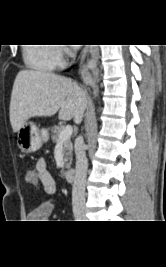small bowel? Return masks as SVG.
Masks as SVG:
<instances>
[{"mask_svg":"<svg viewBox=\"0 0 166 267\" xmlns=\"http://www.w3.org/2000/svg\"><path fill=\"white\" fill-rule=\"evenodd\" d=\"M34 171L38 172V180H41L45 198L29 212L28 218L32 222H44L55 211V200L51 196L56 191V181L53 175L48 171L43 158L37 161Z\"/></svg>","mask_w":166,"mask_h":267,"instance_id":"small-bowel-1","label":"small bowel"}]
</instances>
